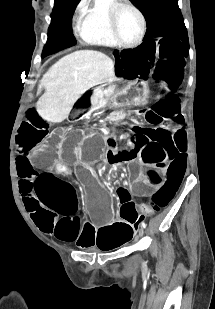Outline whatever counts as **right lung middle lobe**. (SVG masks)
<instances>
[{
	"label": "right lung middle lobe",
	"mask_w": 215,
	"mask_h": 309,
	"mask_svg": "<svg viewBox=\"0 0 215 309\" xmlns=\"http://www.w3.org/2000/svg\"><path fill=\"white\" fill-rule=\"evenodd\" d=\"M79 1L55 0L51 15L52 22L48 29V40L43 49L42 57L76 44V40L72 34L71 21Z\"/></svg>",
	"instance_id": "dd1d6c3e"
}]
</instances>
